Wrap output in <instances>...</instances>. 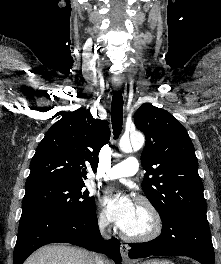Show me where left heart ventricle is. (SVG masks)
<instances>
[{
  "label": "left heart ventricle",
  "instance_id": "b2bd125f",
  "mask_svg": "<svg viewBox=\"0 0 221 264\" xmlns=\"http://www.w3.org/2000/svg\"><path fill=\"white\" fill-rule=\"evenodd\" d=\"M150 227V218L147 212L138 205L136 214L130 225L124 230L131 234H138L147 231Z\"/></svg>",
  "mask_w": 221,
  "mask_h": 264
}]
</instances>
